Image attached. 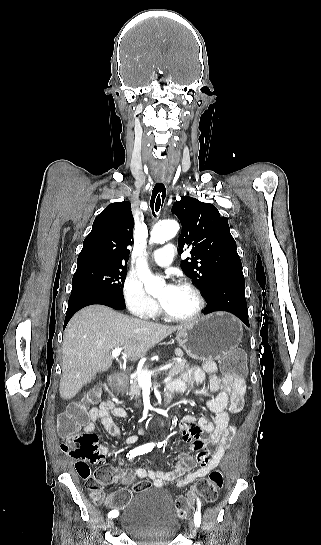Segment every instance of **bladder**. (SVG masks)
I'll use <instances>...</instances> for the list:
<instances>
[{"instance_id": "bladder-1", "label": "bladder", "mask_w": 321, "mask_h": 545, "mask_svg": "<svg viewBox=\"0 0 321 545\" xmlns=\"http://www.w3.org/2000/svg\"><path fill=\"white\" fill-rule=\"evenodd\" d=\"M121 529L137 545H168L180 530L170 493L150 487L136 492L120 512Z\"/></svg>"}]
</instances>
